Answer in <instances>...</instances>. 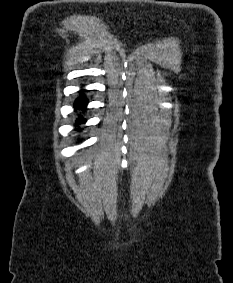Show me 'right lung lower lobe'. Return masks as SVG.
Here are the masks:
<instances>
[{
  "label": "right lung lower lobe",
  "mask_w": 233,
  "mask_h": 283,
  "mask_svg": "<svg viewBox=\"0 0 233 283\" xmlns=\"http://www.w3.org/2000/svg\"><path fill=\"white\" fill-rule=\"evenodd\" d=\"M86 105H87V99L84 98V97H80L75 101L74 107L76 109L84 110ZM85 121H86V119L80 117V118L77 119L76 124L79 125L81 123H84Z\"/></svg>",
  "instance_id": "98d812e1"
}]
</instances>
